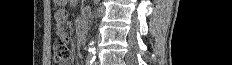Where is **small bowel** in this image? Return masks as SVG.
<instances>
[{"label":"small bowel","instance_id":"small-bowel-1","mask_svg":"<svg viewBox=\"0 0 232 65\" xmlns=\"http://www.w3.org/2000/svg\"><path fill=\"white\" fill-rule=\"evenodd\" d=\"M66 17H73V12H57L55 21H66ZM56 28H59L58 32H55V37H65L66 40H77V35H71V30L66 29L67 23H56ZM61 65H70L69 63H62Z\"/></svg>","mask_w":232,"mask_h":65}]
</instances>
